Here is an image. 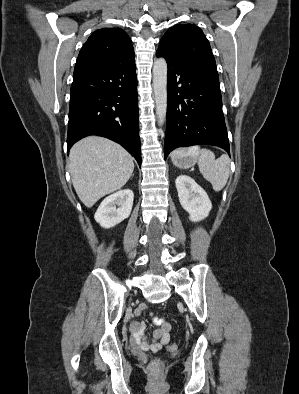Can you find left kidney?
Returning <instances> with one entry per match:
<instances>
[{
  "instance_id": "1",
  "label": "left kidney",
  "mask_w": 299,
  "mask_h": 394,
  "mask_svg": "<svg viewBox=\"0 0 299 394\" xmlns=\"http://www.w3.org/2000/svg\"><path fill=\"white\" fill-rule=\"evenodd\" d=\"M175 183L180 204L189 213V219L192 222L205 219L212 203L204 189L187 175L178 176Z\"/></svg>"
}]
</instances>
